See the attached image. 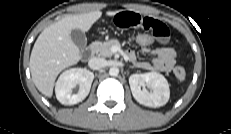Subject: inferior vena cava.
Wrapping results in <instances>:
<instances>
[{
	"instance_id": "1",
	"label": "inferior vena cava",
	"mask_w": 231,
	"mask_h": 134,
	"mask_svg": "<svg viewBox=\"0 0 231 134\" xmlns=\"http://www.w3.org/2000/svg\"><path fill=\"white\" fill-rule=\"evenodd\" d=\"M88 66L92 70H99L106 66V61L103 58L93 57L89 60Z\"/></svg>"
}]
</instances>
